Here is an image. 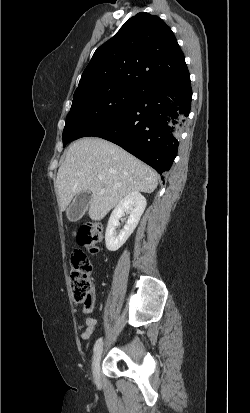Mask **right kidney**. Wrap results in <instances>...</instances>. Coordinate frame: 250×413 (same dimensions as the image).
Segmentation results:
<instances>
[{
    "label": "right kidney",
    "instance_id": "ca27d5eb",
    "mask_svg": "<svg viewBox=\"0 0 250 413\" xmlns=\"http://www.w3.org/2000/svg\"><path fill=\"white\" fill-rule=\"evenodd\" d=\"M146 204L145 197L138 191H135L125 196L114 208L105 232V243L109 251L118 250L127 241L138 225ZM125 213L129 214L128 220L121 232L117 234L115 229L119 225L120 218Z\"/></svg>",
    "mask_w": 250,
    "mask_h": 413
}]
</instances>
